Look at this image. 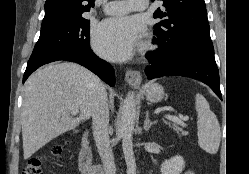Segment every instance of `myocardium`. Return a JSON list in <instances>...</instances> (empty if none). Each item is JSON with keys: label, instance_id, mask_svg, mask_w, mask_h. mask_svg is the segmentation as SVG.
<instances>
[{"label": "myocardium", "instance_id": "1", "mask_svg": "<svg viewBox=\"0 0 249 174\" xmlns=\"http://www.w3.org/2000/svg\"><path fill=\"white\" fill-rule=\"evenodd\" d=\"M144 48H145V49L149 48V44L146 43V44L144 45Z\"/></svg>", "mask_w": 249, "mask_h": 174}]
</instances>
